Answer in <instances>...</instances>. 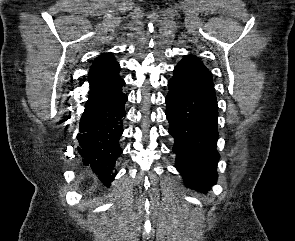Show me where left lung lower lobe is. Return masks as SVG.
<instances>
[{
	"label": "left lung lower lobe",
	"instance_id": "obj_1",
	"mask_svg": "<svg viewBox=\"0 0 295 241\" xmlns=\"http://www.w3.org/2000/svg\"><path fill=\"white\" fill-rule=\"evenodd\" d=\"M168 86L166 117L175 141L176 168L187 187L207 192L217 179V100L176 74Z\"/></svg>",
	"mask_w": 295,
	"mask_h": 241
}]
</instances>
